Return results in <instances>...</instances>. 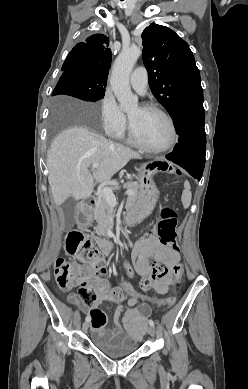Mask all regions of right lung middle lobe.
Returning <instances> with one entry per match:
<instances>
[{
  "instance_id": "dd1d6c3e",
  "label": "right lung middle lobe",
  "mask_w": 248,
  "mask_h": 389,
  "mask_svg": "<svg viewBox=\"0 0 248 389\" xmlns=\"http://www.w3.org/2000/svg\"><path fill=\"white\" fill-rule=\"evenodd\" d=\"M107 81L92 78L85 71L66 70L60 77L53 95L65 94L78 99L96 102L104 97Z\"/></svg>"
}]
</instances>
